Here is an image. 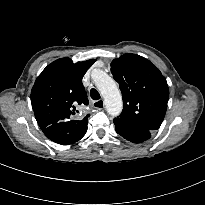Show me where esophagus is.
Segmentation results:
<instances>
[{"label": "esophagus", "instance_id": "obj_1", "mask_svg": "<svg viewBox=\"0 0 205 205\" xmlns=\"http://www.w3.org/2000/svg\"><path fill=\"white\" fill-rule=\"evenodd\" d=\"M93 106L96 108V109H103L104 108V100L103 99H99V100H96L93 102Z\"/></svg>", "mask_w": 205, "mask_h": 205}]
</instances>
